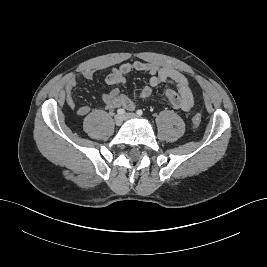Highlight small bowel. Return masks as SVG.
Listing matches in <instances>:
<instances>
[{"mask_svg":"<svg viewBox=\"0 0 267 267\" xmlns=\"http://www.w3.org/2000/svg\"><path fill=\"white\" fill-rule=\"evenodd\" d=\"M144 72L149 75V83L140 91L139 98L146 99L152 94L154 87L160 84H172L176 90L166 89L165 95L175 109L189 111L194 104V98L191 86L186 77L175 69L162 67L151 62L135 61L131 63H123L119 66L112 67L105 78V82L110 89L103 97V106L107 110H113L117 107H123L127 110L135 109V101L129 96L123 94L119 87L127 85V77L133 72ZM95 71L87 69L80 76H71L65 85V103L69 108H75L76 103L73 96V90L78 83L79 78L91 80ZM77 113L80 116H86L90 113L88 105L77 107Z\"/></svg>","mask_w":267,"mask_h":267,"instance_id":"1","label":"small bowel"}]
</instances>
